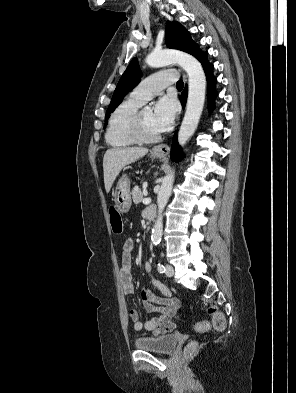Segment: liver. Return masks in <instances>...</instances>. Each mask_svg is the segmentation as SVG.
Segmentation results:
<instances>
[{"instance_id":"1","label":"liver","mask_w":296,"mask_h":393,"mask_svg":"<svg viewBox=\"0 0 296 393\" xmlns=\"http://www.w3.org/2000/svg\"><path fill=\"white\" fill-rule=\"evenodd\" d=\"M148 153L147 148L128 147L108 149L103 158L104 184L108 193L120 171Z\"/></svg>"}]
</instances>
